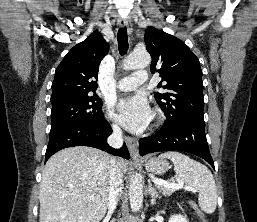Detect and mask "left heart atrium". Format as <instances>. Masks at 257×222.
Wrapping results in <instances>:
<instances>
[{
    "instance_id": "obj_1",
    "label": "left heart atrium",
    "mask_w": 257,
    "mask_h": 222,
    "mask_svg": "<svg viewBox=\"0 0 257 222\" xmlns=\"http://www.w3.org/2000/svg\"><path fill=\"white\" fill-rule=\"evenodd\" d=\"M117 108L122 124L130 131L141 132L151 120L149 103L142 94L120 100Z\"/></svg>"
}]
</instances>
